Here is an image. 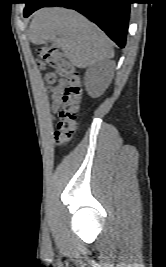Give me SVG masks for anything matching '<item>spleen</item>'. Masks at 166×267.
<instances>
[{"label":"spleen","mask_w":166,"mask_h":267,"mask_svg":"<svg viewBox=\"0 0 166 267\" xmlns=\"http://www.w3.org/2000/svg\"><path fill=\"white\" fill-rule=\"evenodd\" d=\"M31 34L38 43L58 42L67 58L79 67L113 57L109 38L84 16L63 7L38 12L31 23Z\"/></svg>","instance_id":"1"}]
</instances>
